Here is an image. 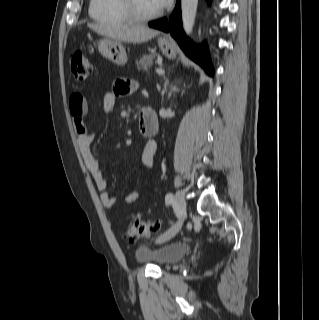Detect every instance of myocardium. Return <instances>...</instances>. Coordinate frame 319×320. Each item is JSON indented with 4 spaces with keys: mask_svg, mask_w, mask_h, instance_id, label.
Listing matches in <instances>:
<instances>
[{
    "mask_svg": "<svg viewBox=\"0 0 319 320\" xmlns=\"http://www.w3.org/2000/svg\"><path fill=\"white\" fill-rule=\"evenodd\" d=\"M120 1H121L123 10L130 17L131 21L142 23V22L151 21L162 15V11L160 9L150 14L141 13L136 7L135 0H120Z\"/></svg>",
    "mask_w": 319,
    "mask_h": 320,
    "instance_id": "myocardium-1",
    "label": "myocardium"
}]
</instances>
